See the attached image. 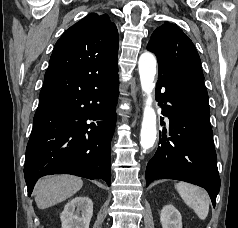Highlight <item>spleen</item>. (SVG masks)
Masks as SVG:
<instances>
[{
	"label": "spleen",
	"mask_w": 238,
	"mask_h": 228,
	"mask_svg": "<svg viewBox=\"0 0 238 228\" xmlns=\"http://www.w3.org/2000/svg\"><path fill=\"white\" fill-rule=\"evenodd\" d=\"M176 189L184 202L195 211L197 216L201 220L206 219L210 205V198L207 192L196 185L186 182L177 183Z\"/></svg>",
	"instance_id": "3e777b00"
}]
</instances>
